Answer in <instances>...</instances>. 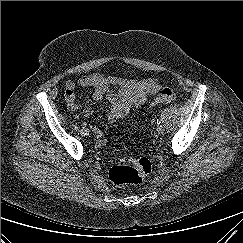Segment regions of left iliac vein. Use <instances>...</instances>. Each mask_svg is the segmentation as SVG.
Masks as SVG:
<instances>
[{
	"label": "left iliac vein",
	"instance_id": "1",
	"mask_svg": "<svg viewBox=\"0 0 243 243\" xmlns=\"http://www.w3.org/2000/svg\"><path fill=\"white\" fill-rule=\"evenodd\" d=\"M157 132L160 134V133H163L164 132V127L162 125H158L157 128H156Z\"/></svg>",
	"mask_w": 243,
	"mask_h": 243
}]
</instances>
